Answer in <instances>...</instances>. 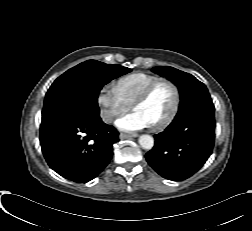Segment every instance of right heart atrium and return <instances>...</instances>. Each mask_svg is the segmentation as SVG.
<instances>
[{"label": "right heart atrium", "mask_w": 252, "mask_h": 231, "mask_svg": "<svg viewBox=\"0 0 252 231\" xmlns=\"http://www.w3.org/2000/svg\"><path fill=\"white\" fill-rule=\"evenodd\" d=\"M100 107V117L106 123H110L115 117L120 116L130 109L128 104L119 94L115 85H104L97 96Z\"/></svg>", "instance_id": "right-heart-atrium-1"}]
</instances>
